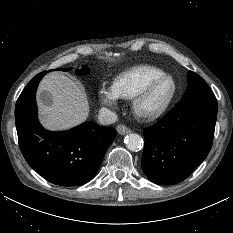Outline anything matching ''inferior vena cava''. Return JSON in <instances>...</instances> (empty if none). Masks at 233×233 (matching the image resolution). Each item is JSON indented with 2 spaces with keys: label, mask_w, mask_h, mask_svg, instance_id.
Wrapping results in <instances>:
<instances>
[{
  "label": "inferior vena cava",
  "mask_w": 233,
  "mask_h": 233,
  "mask_svg": "<svg viewBox=\"0 0 233 233\" xmlns=\"http://www.w3.org/2000/svg\"><path fill=\"white\" fill-rule=\"evenodd\" d=\"M99 122L103 125L113 124L117 121L118 116L115 112L107 108H101L98 115Z\"/></svg>",
  "instance_id": "obj_1"
}]
</instances>
